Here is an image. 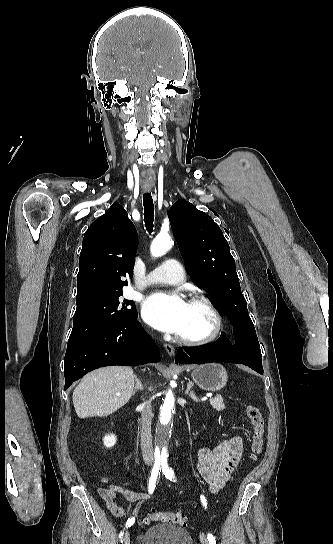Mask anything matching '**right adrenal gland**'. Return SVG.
Listing matches in <instances>:
<instances>
[{"label": "right adrenal gland", "mask_w": 333, "mask_h": 544, "mask_svg": "<svg viewBox=\"0 0 333 544\" xmlns=\"http://www.w3.org/2000/svg\"><path fill=\"white\" fill-rule=\"evenodd\" d=\"M134 379H135V387H134V390H133V395H135V393L140 390V391H143L144 387H143V384L140 380V378L137 377V375H134Z\"/></svg>", "instance_id": "right-adrenal-gland-1"}]
</instances>
